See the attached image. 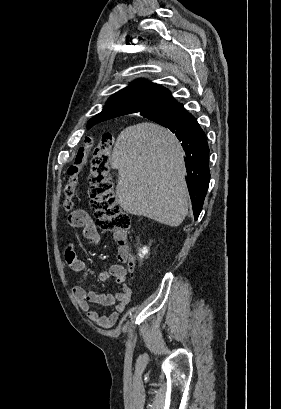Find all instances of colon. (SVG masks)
I'll return each mask as SVG.
<instances>
[{
  "instance_id": "obj_1",
  "label": "colon",
  "mask_w": 281,
  "mask_h": 409,
  "mask_svg": "<svg viewBox=\"0 0 281 409\" xmlns=\"http://www.w3.org/2000/svg\"><path fill=\"white\" fill-rule=\"evenodd\" d=\"M114 152V140L111 134L103 133L99 141L88 139L86 145L77 151L73 162L67 169L68 180L64 186L63 207L72 210L76 205L78 189L87 160L91 162L90 192L91 207L97 224L104 230L124 233L131 228L130 217L122 211L114 196V183L110 162ZM118 256L130 261L132 250L125 237L117 241Z\"/></svg>"
}]
</instances>
